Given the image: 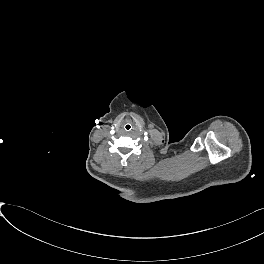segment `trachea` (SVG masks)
<instances>
[{"label":"trachea","instance_id":"obj_1","mask_svg":"<svg viewBox=\"0 0 264 264\" xmlns=\"http://www.w3.org/2000/svg\"><path fill=\"white\" fill-rule=\"evenodd\" d=\"M132 128H133V125H132V123H130V122H125V123L123 124V130H124L125 132H130V131L132 130Z\"/></svg>","mask_w":264,"mask_h":264}]
</instances>
